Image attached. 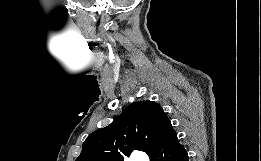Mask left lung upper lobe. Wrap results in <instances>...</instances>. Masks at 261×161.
Segmentation results:
<instances>
[{
    "mask_svg": "<svg viewBox=\"0 0 261 161\" xmlns=\"http://www.w3.org/2000/svg\"><path fill=\"white\" fill-rule=\"evenodd\" d=\"M174 131L160 105L149 100L135 102L110 125L93 132L76 161H124L133 150L149 155Z\"/></svg>",
    "mask_w": 261,
    "mask_h": 161,
    "instance_id": "obj_1",
    "label": "left lung upper lobe"
}]
</instances>
